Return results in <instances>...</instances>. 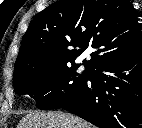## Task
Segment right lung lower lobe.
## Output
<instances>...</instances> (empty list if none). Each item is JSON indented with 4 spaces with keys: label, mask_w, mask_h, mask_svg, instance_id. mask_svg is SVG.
Instances as JSON below:
<instances>
[{
    "label": "right lung lower lobe",
    "mask_w": 142,
    "mask_h": 128,
    "mask_svg": "<svg viewBox=\"0 0 142 128\" xmlns=\"http://www.w3.org/2000/svg\"><path fill=\"white\" fill-rule=\"evenodd\" d=\"M62 109L99 128H142V48L91 69L86 85Z\"/></svg>",
    "instance_id": "obj_1"
}]
</instances>
